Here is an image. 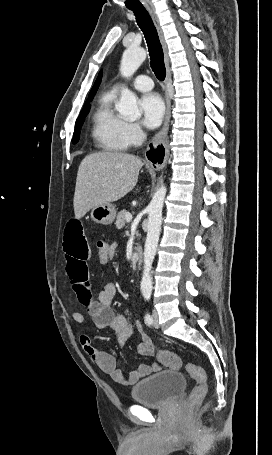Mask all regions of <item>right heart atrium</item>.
Here are the masks:
<instances>
[{
	"label": "right heart atrium",
	"instance_id": "1",
	"mask_svg": "<svg viewBox=\"0 0 272 455\" xmlns=\"http://www.w3.org/2000/svg\"><path fill=\"white\" fill-rule=\"evenodd\" d=\"M125 134L130 145H139L145 139V133L138 123L126 122Z\"/></svg>",
	"mask_w": 272,
	"mask_h": 455
}]
</instances>
